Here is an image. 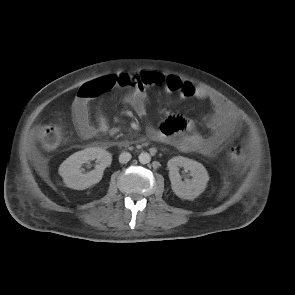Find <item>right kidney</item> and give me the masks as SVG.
<instances>
[{
  "instance_id": "obj_1",
  "label": "right kidney",
  "mask_w": 295,
  "mask_h": 295,
  "mask_svg": "<svg viewBox=\"0 0 295 295\" xmlns=\"http://www.w3.org/2000/svg\"><path fill=\"white\" fill-rule=\"evenodd\" d=\"M95 159L98 161L95 169L83 174L80 169L82 164ZM111 161V154L105 149L90 147L69 156L60 165L59 174L67 187L75 190H84L102 179L103 171L111 164Z\"/></svg>"
}]
</instances>
